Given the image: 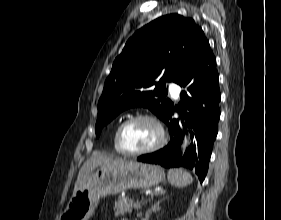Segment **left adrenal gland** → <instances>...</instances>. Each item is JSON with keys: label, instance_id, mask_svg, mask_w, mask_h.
Here are the masks:
<instances>
[{"label": "left adrenal gland", "instance_id": "left-adrenal-gland-1", "mask_svg": "<svg viewBox=\"0 0 281 220\" xmlns=\"http://www.w3.org/2000/svg\"><path fill=\"white\" fill-rule=\"evenodd\" d=\"M164 193H165V192H163V191L161 192V194H164ZM166 198H167V197L163 198V200H160V201L154 203V204L151 206V208L146 212V217L149 218V217L151 216L152 212L159 211V210H160V206H159L160 203H161L162 201H164Z\"/></svg>", "mask_w": 281, "mask_h": 220}]
</instances>
